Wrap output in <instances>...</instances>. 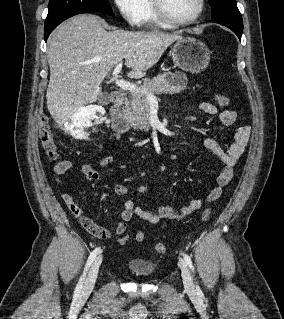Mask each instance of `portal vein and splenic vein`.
Listing matches in <instances>:
<instances>
[{"instance_id":"portal-vein-and-splenic-vein-1","label":"portal vein and splenic vein","mask_w":284,"mask_h":319,"mask_svg":"<svg viewBox=\"0 0 284 319\" xmlns=\"http://www.w3.org/2000/svg\"><path fill=\"white\" fill-rule=\"evenodd\" d=\"M121 70H122V62H119L114 68L112 73L113 80L115 81V84L118 87H120L123 90H129L131 92H138V91L144 92L150 103L157 102V98L153 94L147 93L145 89H142L141 87H138L131 82L118 79V74L121 72Z\"/></svg>"}]
</instances>
